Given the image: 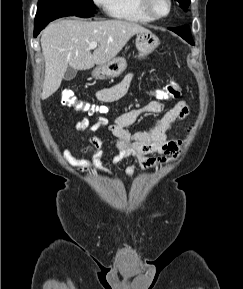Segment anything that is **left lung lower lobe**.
I'll use <instances>...</instances> for the list:
<instances>
[{"instance_id": "0a47b994", "label": "left lung lower lobe", "mask_w": 243, "mask_h": 289, "mask_svg": "<svg viewBox=\"0 0 243 289\" xmlns=\"http://www.w3.org/2000/svg\"><path fill=\"white\" fill-rule=\"evenodd\" d=\"M169 30L175 32L179 36H181L183 39H185L188 43L194 45V42L192 40L190 30L188 26H181L177 28H168Z\"/></svg>"}]
</instances>
